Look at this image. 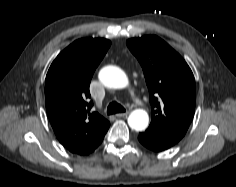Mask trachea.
<instances>
[{
    "mask_svg": "<svg viewBox=\"0 0 236 187\" xmlns=\"http://www.w3.org/2000/svg\"><path fill=\"white\" fill-rule=\"evenodd\" d=\"M123 112H125V108L117 102H112L107 107L108 115L115 114V113H123Z\"/></svg>",
    "mask_w": 236,
    "mask_h": 187,
    "instance_id": "obj_1",
    "label": "trachea"
}]
</instances>
